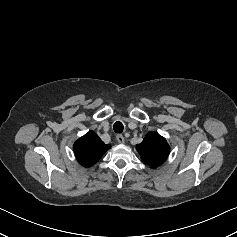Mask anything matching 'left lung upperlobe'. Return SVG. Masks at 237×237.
I'll return each mask as SVG.
<instances>
[{"label": "left lung upper lobe", "mask_w": 237, "mask_h": 237, "mask_svg": "<svg viewBox=\"0 0 237 237\" xmlns=\"http://www.w3.org/2000/svg\"><path fill=\"white\" fill-rule=\"evenodd\" d=\"M142 161L150 167L160 166L168 157L170 147L166 139L156 132H149L137 145Z\"/></svg>", "instance_id": "obj_1"}]
</instances>
